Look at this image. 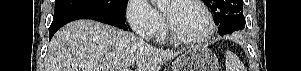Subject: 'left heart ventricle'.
Returning <instances> with one entry per match:
<instances>
[{
	"label": "left heart ventricle",
	"mask_w": 301,
	"mask_h": 71,
	"mask_svg": "<svg viewBox=\"0 0 301 71\" xmlns=\"http://www.w3.org/2000/svg\"><path fill=\"white\" fill-rule=\"evenodd\" d=\"M162 9L172 28L183 37L198 38L207 30L205 14L189 2H165Z\"/></svg>",
	"instance_id": "left-heart-ventricle-1"
}]
</instances>
